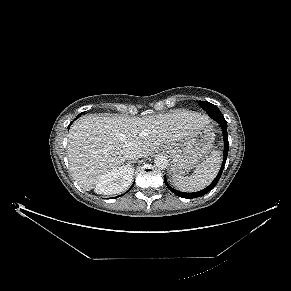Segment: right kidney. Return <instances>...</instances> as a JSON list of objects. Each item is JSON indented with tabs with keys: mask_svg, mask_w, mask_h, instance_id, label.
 I'll use <instances>...</instances> for the list:
<instances>
[{
	"mask_svg": "<svg viewBox=\"0 0 291 291\" xmlns=\"http://www.w3.org/2000/svg\"><path fill=\"white\" fill-rule=\"evenodd\" d=\"M134 168L129 165L112 169L103 174L95 185L98 194L112 195L122 192L132 180Z\"/></svg>",
	"mask_w": 291,
	"mask_h": 291,
	"instance_id": "obj_1",
	"label": "right kidney"
}]
</instances>
